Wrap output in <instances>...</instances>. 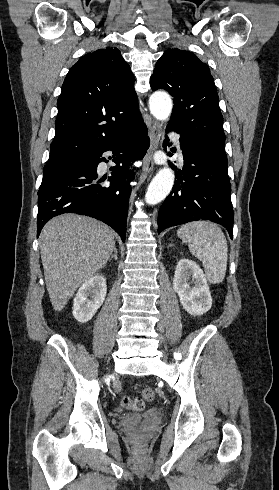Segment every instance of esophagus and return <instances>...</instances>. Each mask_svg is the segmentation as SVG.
I'll return each instance as SVG.
<instances>
[{
  "mask_svg": "<svg viewBox=\"0 0 279 490\" xmlns=\"http://www.w3.org/2000/svg\"><path fill=\"white\" fill-rule=\"evenodd\" d=\"M150 147L143 158L142 171L144 173H150L154 167L153 154L159 147V141L161 137V127L157 122H152L149 130Z\"/></svg>",
  "mask_w": 279,
  "mask_h": 490,
  "instance_id": "esophagus-1",
  "label": "esophagus"
}]
</instances>
